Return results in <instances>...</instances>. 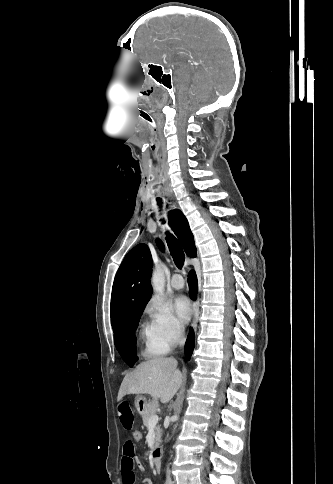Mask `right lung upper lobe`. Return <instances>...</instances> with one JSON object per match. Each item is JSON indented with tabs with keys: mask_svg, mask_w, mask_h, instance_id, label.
Instances as JSON below:
<instances>
[{
	"mask_svg": "<svg viewBox=\"0 0 333 484\" xmlns=\"http://www.w3.org/2000/svg\"><path fill=\"white\" fill-rule=\"evenodd\" d=\"M168 217L169 225L182 243L186 254L195 257L193 234L186 217L178 209L171 210ZM156 242L158 247L164 250L163 243L159 239ZM151 267V253L144 243L135 246L125 256L112 288L110 311L114 334L130 314L143 311L148 303L152 294Z\"/></svg>",
	"mask_w": 333,
	"mask_h": 484,
	"instance_id": "right-lung-upper-lobe-1",
	"label": "right lung upper lobe"
}]
</instances>
